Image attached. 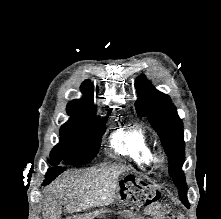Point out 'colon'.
Returning <instances> with one entry per match:
<instances>
[{"label":"colon","mask_w":221,"mask_h":219,"mask_svg":"<svg viewBox=\"0 0 221 219\" xmlns=\"http://www.w3.org/2000/svg\"><path fill=\"white\" fill-rule=\"evenodd\" d=\"M122 190L132 194L141 207H147L154 201V189L146 184L137 181H126L122 186Z\"/></svg>","instance_id":"1"}]
</instances>
